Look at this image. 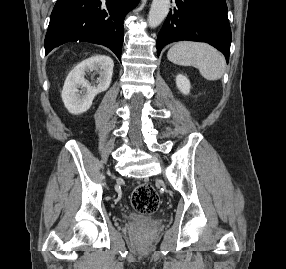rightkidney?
Masks as SVG:
<instances>
[{"mask_svg": "<svg viewBox=\"0 0 286 269\" xmlns=\"http://www.w3.org/2000/svg\"><path fill=\"white\" fill-rule=\"evenodd\" d=\"M113 67V60L105 55H95L80 62L67 76L62 90L67 110L72 114L86 112L95 96L109 88ZM93 70L99 73L97 86H91L85 79L86 73Z\"/></svg>", "mask_w": 286, "mask_h": 269, "instance_id": "right-kidney-1", "label": "right kidney"}]
</instances>
